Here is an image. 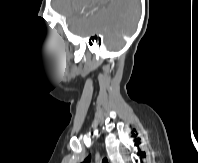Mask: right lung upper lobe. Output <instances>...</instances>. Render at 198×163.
<instances>
[{"mask_svg": "<svg viewBox=\"0 0 198 163\" xmlns=\"http://www.w3.org/2000/svg\"><path fill=\"white\" fill-rule=\"evenodd\" d=\"M90 160H91V156L89 155V156L84 160V162H82V163H89Z\"/></svg>", "mask_w": 198, "mask_h": 163, "instance_id": "1", "label": "right lung upper lobe"}]
</instances>
